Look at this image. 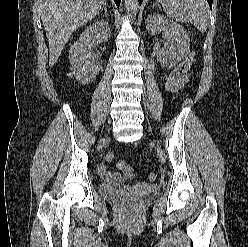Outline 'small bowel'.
Masks as SVG:
<instances>
[{"instance_id": "small-bowel-1", "label": "small bowel", "mask_w": 248, "mask_h": 247, "mask_svg": "<svg viewBox=\"0 0 248 247\" xmlns=\"http://www.w3.org/2000/svg\"><path fill=\"white\" fill-rule=\"evenodd\" d=\"M185 82H186V78H183V82H182V86H181L180 90L184 87ZM97 171H98L99 175L101 176V178L106 182H110V183L121 182V181H124L126 179L124 176H122L118 172H111V171L107 170V168L104 164L98 165Z\"/></svg>"}]
</instances>
